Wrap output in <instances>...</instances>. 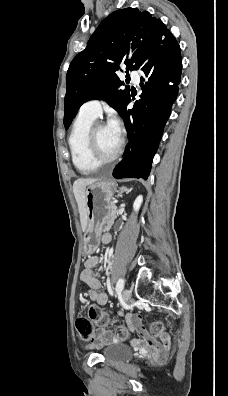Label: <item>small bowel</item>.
I'll return each mask as SVG.
<instances>
[{"instance_id": "obj_1", "label": "small bowel", "mask_w": 228, "mask_h": 396, "mask_svg": "<svg viewBox=\"0 0 228 396\" xmlns=\"http://www.w3.org/2000/svg\"><path fill=\"white\" fill-rule=\"evenodd\" d=\"M111 242L110 234H105L102 237V243L108 245ZM100 263L99 256H90L86 259L84 263V269L80 275L81 280L89 287L86 296L91 301L96 302L99 305H105L108 302V295L101 292V282L95 276V268ZM126 321L130 331H137L142 337L146 345L151 349L154 359L158 363H165L169 356L170 350V339L166 333H161V341H157L153 336L149 335L146 330L141 325V316L138 314H126ZM116 337L112 331L105 328H99L95 331L94 337L92 338L93 346H100L104 343L110 341H117ZM140 343V341H137Z\"/></svg>"}]
</instances>
